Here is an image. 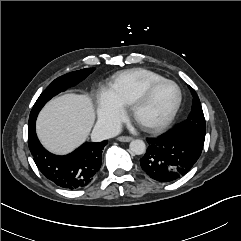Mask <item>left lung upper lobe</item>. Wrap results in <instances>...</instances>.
<instances>
[{
  "label": "left lung upper lobe",
  "mask_w": 241,
  "mask_h": 241,
  "mask_svg": "<svg viewBox=\"0 0 241 241\" xmlns=\"http://www.w3.org/2000/svg\"><path fill=\"white\" fill-rule=\"evenodd\" d=\"M189 88L194 97L192 111L188 118L177 125L173 130L187 134L197 146L203 148L205 140V118L196 92L193 88Z\"/></svg>",
  "instance_id": "1"
}]
</instances>
